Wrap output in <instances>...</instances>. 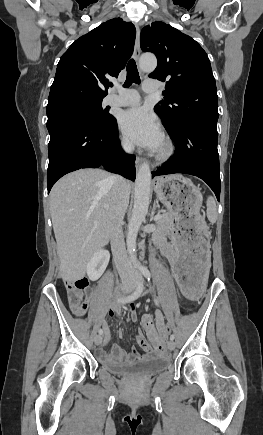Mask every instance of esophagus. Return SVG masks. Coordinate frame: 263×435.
<instances>
[{"label": "esophagus", "mask_w": 263, "mask_h": 435, "mask_svg": "<svg viewBox=\"0 0 263 435\" xmlns=\"http://www.w3.org/2000/svg\"><path fill=\"white\" fill-rule=\"evenodd\" d=\"M140 53H141V49H140V29L139 26L136 25V38H135V46H134V58L136 61L139 60L140 57ZM143 159L139 156L136 157L135 160V164L136 167H140V165L142 164Z\"/></svg>", "instance_id": "34e87169"}]
</instances>
